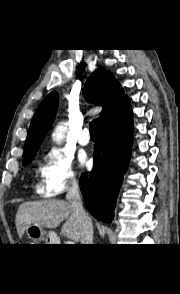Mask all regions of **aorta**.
Listing matches in <instances>:
<instances>
[{
    "label": "aorta",
    "instance_id": "obj_1",
    "mask_svg": "<svg viewBox=\"0 0 180 294\" xmlns=\"http://www.w3.org/2000/svg\"><path fill=\"white\" fill-rule=\"evenodd\" d=\"M66 131L67 129L63 124H59L58 126H56L52 134L53 140L56 142L62 141L65 138Z\"/></svg>",
    "mask_w": 180,
    "mask_h": 294
}]
</instances>
